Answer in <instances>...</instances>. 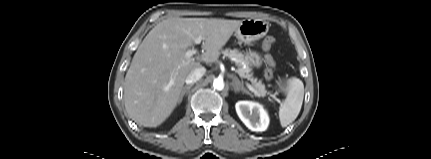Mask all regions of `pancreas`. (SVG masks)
Instances as JSON below:
<instances>
[{
    "mask_svg": "<svg viewBox=\"0 0 431 159\" xmlns=\"http://www.w3.org/2000/svg\"><path fill=\"white\" fill-rule=\"evenodd\" d=\"M222 53L225 57H228L234 60L235 64L238 67V74L240 77L247 78L252 81L256 89L255 95L258 97L260 96L264 97L267 93L265 89V85L262 84L261 81L257 82L255 79L252 78V74H250L251 68L249 67V63L244 57V55L236 49H233V50L226 49Z\"/></svg>",
    "mask_w": 431,
    "mask_h": 159,
    "instance_id": "obj_1",
    "label": "pancreas"
}]
</instances>
